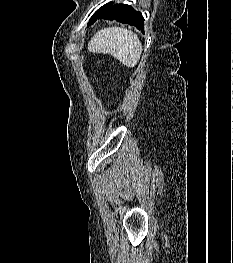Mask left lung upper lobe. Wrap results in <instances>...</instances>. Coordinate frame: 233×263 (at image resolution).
Masks as SVG:
<instances>
[{
	"label": "left lung upper lobe",
	"mask_w": 233,
	"mask_h": 263,
	"mask_svg": "<svg viewBox=\"0 0 233 263\" xmlns=\"http://www.w3.org/2000/svg\"><path fill=\"white\" fill-rule=\"evenodd\" d=\"M110 5H112V3H108V4H106V5L102 6V7H100L95 13H98V12L104 10L105 8H107V7L110 6Z\"/></svg>",
	"instance_id": "obj_1"
}]
</instances>
